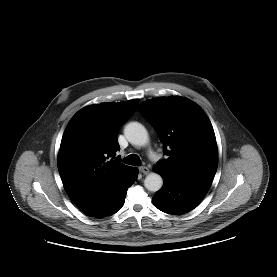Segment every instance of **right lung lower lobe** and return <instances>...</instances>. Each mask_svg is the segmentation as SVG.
I'll return each mask as SVG.
<instances>
[{
	"label": "right lung lower lobe",
	"mask_w": 277,
	"mask_h": 277,
	"mask_svg": "<svg viewBox=\"0 0 277 277\" xmlns=\"http://www.w3.org/2000/svg\"><path fill=\"white\" fill-rule=\"evenodd\" d=\"M137 175L138 169L131 168L96 200L79 208L86 215L96 218L117 212L123 206L127 189L135 182Z\"/></svg>",
	"instance_id": "1"
}]
</instances>
